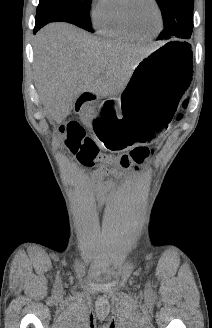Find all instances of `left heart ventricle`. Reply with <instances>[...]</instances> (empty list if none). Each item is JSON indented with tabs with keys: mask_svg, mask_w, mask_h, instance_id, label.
Instances as JSON below:
<instances>
[{
	"mask_svg": "<svg viewBox=\"0 0 212 328\" xmlns=\"http://www.w3.org/2000/svg\"><path fill=\"white\" fill-rule=\"evenodd\" d=\"M131 13L135 24L141 30L151 33L159 27V16L150 0H135Z\"/></svg>",
	"mask_w": 212,
	"mask_h": 328,
	"instance_id": "1",
	"label": "left heart ventricle"
}]
</instances>
